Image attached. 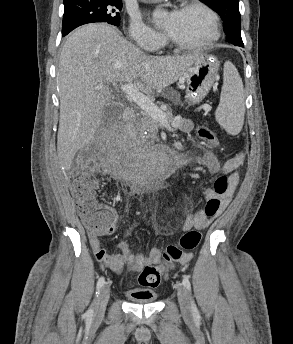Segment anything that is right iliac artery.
<instances>
[{
    "label": "right iliac artery",
    "mask_w": 293,
    "mask_h": 344,
    "mask_svg": "<svg viewBox=\"0 0 293 344\" xmlns=\"http://www.w3.org/2000/svg\"><path fill=\"white\" fill-rule=\"evenodd\" d=\"M105 284V279L104 277H100L98 282H97V291L96 294H99L100 290L102 289V287ZM94 313V304H92V306L90 307V309L87 311V315L88 316H92Z\"/></svg>",
    "instance_id": "obj_1"
}]
</instances>
